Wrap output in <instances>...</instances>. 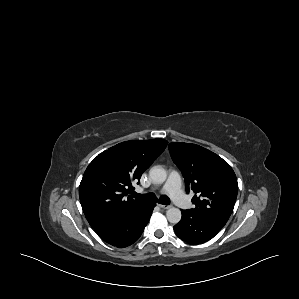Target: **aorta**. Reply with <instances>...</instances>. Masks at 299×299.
Returning a JSON list of instances; mask_svg holds the SVG:
<instances>
[{"label": "aorta", "mask_w": 299, "mask_h": 299, "mask_svg": "<svg viewBox=\"0 0 299 299\" xmlns=\"http://www.w3.org/2000/svg\"><path fill=\"white\" fill-rule=\"evenodd\" d=\"M149 176L153 183L162 184L167 178V173L161 166H153L149 171ZM166 216L170 223L177 224L182 214L180 209L171 207L166 211Z\"/></svg>", "instance_id": "762f6f07"}]
</instances>
